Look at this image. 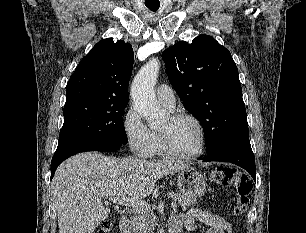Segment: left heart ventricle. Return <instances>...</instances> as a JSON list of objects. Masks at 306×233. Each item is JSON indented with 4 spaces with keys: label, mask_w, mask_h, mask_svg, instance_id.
<instances>
[{
    "label": "left heart ventricle",
    "mask_w": 306,
    "mask_h": 233,
    "mask_svg": "<svg viewBox=\"0 0 306 233\" xmlns=\"http://www.w3.org/2000/svg\"><path fill=\"white\" fill-rule=\"evenodd\" d=\"M171 146L182 153H192L199 149L200 133L194 122L188 119L174 121L171 117L160 128Z\"/></svg>",
    "instance_id": "obj_1"
}]
</instances>
